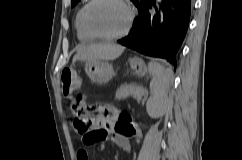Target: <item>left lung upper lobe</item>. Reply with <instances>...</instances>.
<instances>
[{
	"mask_svg": "<svg viewBox=\"0 0 242 160\" xmlns=\"http://www.w3.org/2000/svg\"><path fill=\"white\" fill-rule=\"evenodd\" d=\"M80 0H72V7H74ZM146 0H132V2L136 5L138 10L142 7Z\"/></svg>",
	"mask_w": 242,
	"mask_h": 160,
	"instance_id": "left-lung-upper-lobe-1",
	"label": "left lung upper lobe"
}]
</instances>
